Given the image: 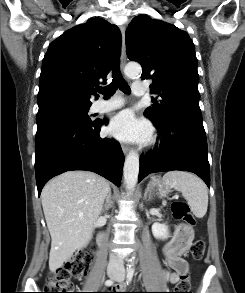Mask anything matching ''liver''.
Returning <instances> with one entry per match:
<instances>
[{
  "label": "liver",
  "instance_id": "liver-1",
  "mask_svg": "<svg viewBox=\"0 0 245 293\" xmlns=\"http://www.w3.org/2000/svg\"><path fill=\"white\" fill-rule=\"evenodd\" d=\"M109 191L106 179L88 171L65 172L44 186L41 200L51 235V272L88 245Z\"/></svg>",
  "mask_w": 245,
  "mask_h": 293
}]
</instances>
